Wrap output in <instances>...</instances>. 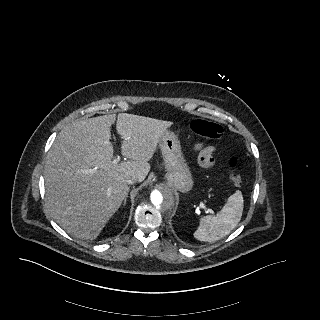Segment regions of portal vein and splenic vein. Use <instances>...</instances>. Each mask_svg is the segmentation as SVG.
Returning a JSON list of instances; mask_svg holds the SVG:
<instances>
[{"instance_id":"18ae733b","label":"portal vein and splenic vein","mask_w":320,"mask_h":320,"mask_svg":"<svg viewBox=\"0 0 320 320\" xmlns=\"http://www.w3.org/2000/svg\"><path fill=\"white\" fill-rule=\"evenodd\" d=\"M120 161V156H117V158H115L112 163L113 164H117ZM98 168H93L91 171L92 172H96ZM210 212H212L211 210H209Z\"/></svg>"}]
</instances>
